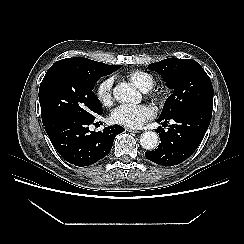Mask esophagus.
<instances>
[{"mask_svg": "<svg viewBox=\"0 0 244 244\" xmlns=\"http://www.w3.org/2000/svg\"><path fill=\"white\" fill-rule=\"evenodd\" d=\"M126 131H128V132H132V133H139L138 130H133V129H129V128H127Z\"/></svg>", "mask_w": 244, "mask_h": 244, "instance_id": "obj_1", "label": "esophagus"}]
</instances>
